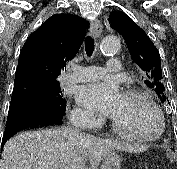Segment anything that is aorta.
Segmentation results:
<instances>
[{"mask_svg":"<svg viewBox=\"0 0 177 169\" xmlns=\"http://www.w3.org/2000/svg\"><path fill=\"white\" fill-rule=\"evenodd\" d=\"M120 42L116 36H107L101 42V52L105 55L115 54L119 51Z\"/></svg>","mask_w":177,"mask_h":169,"instance_id":"obj_1","label":"aorta"}]
</instances>
